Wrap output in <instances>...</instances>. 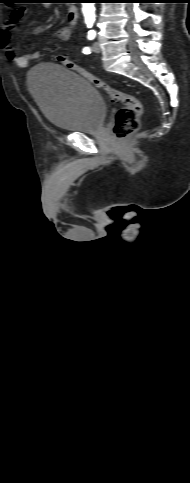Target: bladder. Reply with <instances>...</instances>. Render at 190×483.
Returning a JSON list of instances; mask_svg holds the SVG:
<instances>
[{
  "label": "bladder",
  "mask_w": 190,
  "mask_h": 483,
  "mask_svg": "<svg viewBox=\"0 0 190 483\" xmlns=\"http://www.w3.org/2000/svg\"><path fill=\"white\" fill-rule=\"evenodd\" d=\"M28 88L45 118L63 131H98L106 104L94 85L80 74L53 63L31 69Z\"/></svg>",
  "instance_id": "1"
}]
</instances>
